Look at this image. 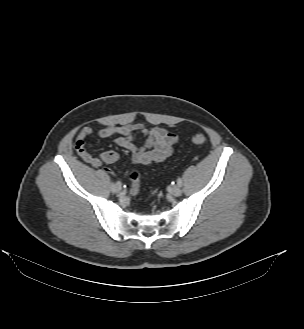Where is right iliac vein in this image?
Wrapping results in <instances>:
<instances>
[{"label": "right iliac vein", "mask_w": 304, "mask_h": 329, "mask_svg": "<svg viewBox=\"0 0 304 329\" xmlns=\"http://www.w3.org/2000/svg\"><path fill=\"white\" fill-rule=\"evenodd\" d=\"M121 189H122L121 183L117 182V183L115 184V190H116V192H117V193L120 192Z\"/></svg>", "instance_id": "63e3f726"}]
</instances>
